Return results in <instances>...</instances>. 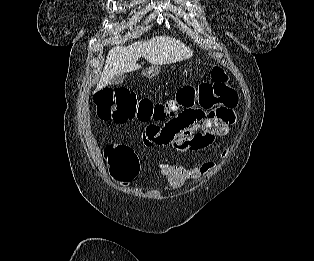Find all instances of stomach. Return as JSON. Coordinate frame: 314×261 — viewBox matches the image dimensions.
I'll list each match as a JSON object with an SVG mask.
<instances>
[{"label": "stomach", "mask_w": 314, "mask_h": 261, "mask_svg": "<svg viewBox=\"0 0 314 261\" xmlns=\"http://www.w3.org/2000/svg\"><path fill=\"white\" fill-rule=\"evenodd\" d=\"M159 72H160L159 66L154 65V66L146 68L143 71V75L146 77H149V78H153V77L157 76L159 74Z\"/></svg>", "instance_id": "1"}]
</instances>
